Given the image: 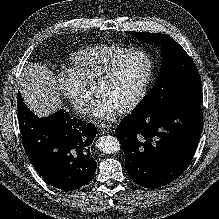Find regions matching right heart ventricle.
Segmentation results:
<instances>
[{"mask_svg": "<svg viewBox=\"0 0 219 219\" xmlns=\"http://www.w3.org/2000/svg\"><path fill=\"white\" fill-rule=\"evenodd\" d=\"M131 48L120 44H102L76 52L71 58V70L82 80L95 83L100 75Z\"/></svg>", "mask_w": 219, "mask_h": 219, "instance_id": "right-heart-ventricle-1", "label": "right heart ventricle"}]
</instances>
